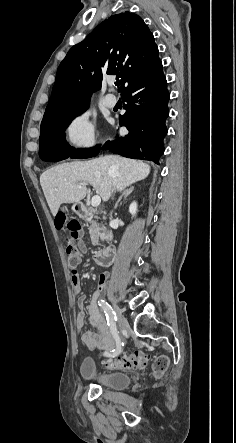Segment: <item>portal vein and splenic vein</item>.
<instances>
[{"mask_svg":"<svg viewBox=\"0 0 236 443\" xmlns=\"http://www.w3.org/2000/svg\"><path fill=\"white\" fill-rule=\"evenodd\" d=\"M77 187L81 188V185H77ZM100 203H101L100 196L96 195V196L92 197V200H91L92 207H98L100 205Z\"/></svg>","mask_w":236,"mask_h":443,"instance_id":"portal-vein-and-splenic-vein-1","label":"portal vein and splenic vein"}]
</instances>
